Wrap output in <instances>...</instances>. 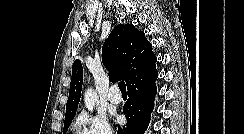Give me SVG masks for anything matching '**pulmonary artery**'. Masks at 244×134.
I'll list each match as a JSON object with an SVG mask.
<instances>
[{
    "label": "pulmonary artery",
    "mask_w": 244,
    "mask_h": 134,
    "mask_svg": "<svg viewBox=\"0 0 244 134\" xmlns=\"http://www.w3.org/2000/svg\"><path fill=\"white\" fill-rule=\"evenodd\" d=\"M108 100L113 104H119L122 100L117 86H112L108 92Z\"/></svg>",
    "instance_id": "e3ab8cb5"
}]
</instances>
